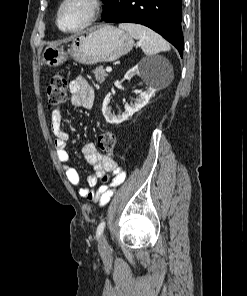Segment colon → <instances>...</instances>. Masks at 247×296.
<instances>
[{"label":"colon","instance_id":"obj_1","mask_svg":"<svg viewBox=\"0 0 247 296\" xmlns=\"http://www.w3.org/2000/svg\"><path fill=\"white\" fill-rule=\"evenodd\" d=\"M67 78L64 75H55L46 89L47 104L51 108L59 107L66 101ZM98 147L101 151L112 155L116 149V138L112 132H104L98 138Z\"/></svg>","mask_w":247,"mask_h":296}]
</instances>
